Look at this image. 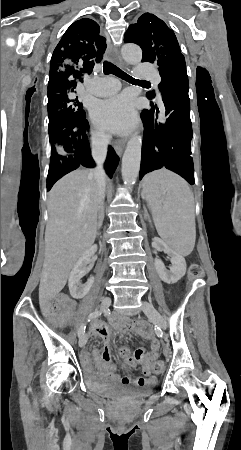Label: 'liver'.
Returning a JSON list of instances; mask_svg holds the SVG:
<instances>
[{
    "instance_id": "obj_1",
    "label": "liver",
    "mask_w": 241,
    "mask_h": 450,
    "mask_svg": "<svg viewBox=\"0 0 241 450\" xmlns=\"http://www.w3.org/2000/svg\"><path fill=\"white\" fill-rule=\"evenodd\" d=\"M98 186L89 170L70 172L49 192V222L45 230V260L39 302L49 304L63 290L78 258L95 242Z\"/></svg>"
}]
</instances>
